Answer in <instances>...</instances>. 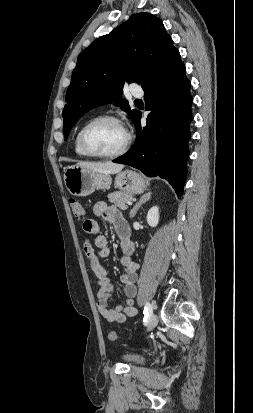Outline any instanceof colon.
Returning <instances> with one entry per match:
<instances>
[{"mask_svg": "<svg viewBox=\"0 0 253 413\" xmlns=\"http://www.w3.org/2000/svg\"><path fill=\"white\" fill-rule=\"evenodd\" d=\"M71 211L76 218H81L84 215V208L82 204L74 198L69 200ZM108 338L111 341H116L119 339L118 334L115 331H110L108 333Z\"/></svg>", "mask_w": 253, "mask_h": 413, "instance_id": "obj_1", "label": "colon"}]
</instances>
